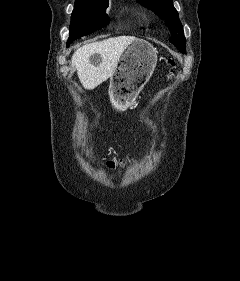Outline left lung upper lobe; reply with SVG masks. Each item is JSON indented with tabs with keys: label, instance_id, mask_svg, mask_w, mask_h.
I'll list each match as a JSON object with an SVG mask.
<instances>
[{
	"label": "left lung upper lobe",
	"instance_id": "5c2ea615",
	"mask_svg": "<svg viewBox=\"0 0 240 281\" xmlns=\"http://www.w3.org/2000/svg\"><path fill=\"white\" fill-rule=\"evenodd\" d=\"M145 7L151 9L161 19L165 20L166 26L173 34L170 42L173 43L182 53H186V40L183 27L179 20L178 13L173 7L172 0H136Z\"/></svg>",
	"mask_w": 240,
	"mask_h": 281
}]
</instances>
